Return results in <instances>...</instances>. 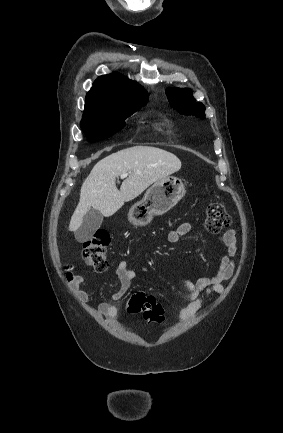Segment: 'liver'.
Instances as JSON below:
<instances>
[{
    "instance_id": "6515ba94",
    "label": "liver",
    "mask_w": 283,
    "mask_h": 433,
    "mask_svg": "<svg viewBox=\"0 0 283 433\" xmlns=\"http://www.w3.org/2000/svg\"><path fill=\"white\" fill-rule=\"evenodd\" d=\"M181 168V160L156 146H130L105 156L93 166L80 188L79 202L72 214L69 231H78L90 208L111 217L127 200L139 196L147 186ZM130 172L120 190L116 176Z\"/></svg>"
}]
</instances>
